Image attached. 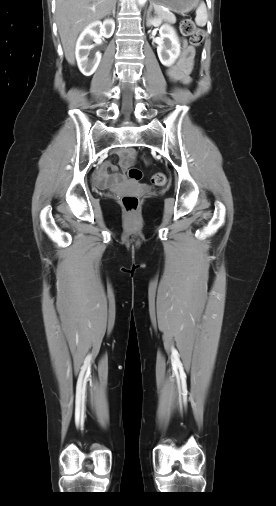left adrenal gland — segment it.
<instances>
[{
    "instance_id": "left-adrenal-gland-1",
    "label": "left adrenal gland",
    "mask_w": 276,
    "mask_h": 506,
    "mask_svg": "<svg viewBox=\"0 0 276 506\" xmlns=\"http://www.w3.org/2000/svg\"><path fill=\"white\" fill-rule=\"evenodd\" d=\"M151 10H152V5H150V8H149V11H151Z\"/></svg>"
}]
</instances>
